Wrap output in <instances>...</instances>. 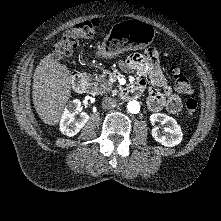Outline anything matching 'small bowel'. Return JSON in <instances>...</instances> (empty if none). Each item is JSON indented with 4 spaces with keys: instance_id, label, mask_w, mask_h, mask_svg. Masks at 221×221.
<instances>
[{
    "instance_id": "small-bowel-1",
    "label": "small bowel",
    "mask_w": 221,
    "mask_h": 221,
    "mask_svg": "<svg viewBox=\"0 0 221 221\" xmlns=\"http://www.w3.org/2000/svg\"><path fill=\"white\" fill-rule=\"evenodd\" d=\"M119 66L125 72H137L156 87L149 89L148 106L152 111L165 108L169 113L176 114L181 110L180 96L172 90L160 68L148 57L147 52L130 54L120 61ZM145 84L144 79L137 83L142 90ZM176 91L180 93L177 88Z\"/></svg>"
}]
</instances>
